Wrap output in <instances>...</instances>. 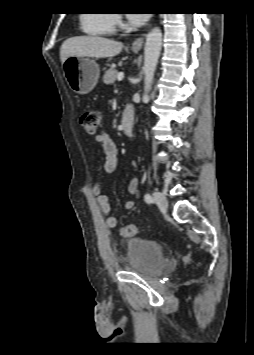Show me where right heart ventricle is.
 Instances as JSON below:
<instances>
[{"mask_svg": "<svg viewBox=\"0 0 254 355\" xmlns=\"http://www.w3.org/2000/svg\"><path fill=\"white\" fill-rule=\"evenodd\" d=\"M83 31L94 37L110 36L114 33L111 14L108 12H89L81 16Z\"/></svg>", "mask_w": 254, "mask_h": 355, "instance_id": "e07e8e85", "label": "right heart ventricle"}]
</instances>
